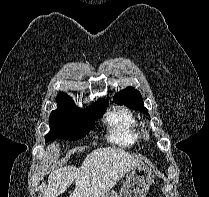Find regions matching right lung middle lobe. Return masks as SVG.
I'll return each instance as SVG.
<instances>
[{
	"label": "right lung middle lobe",
	"mask_w": 209,
	"mask_h": 197,
	"mask_svg": "<svg viewBox=\"0 0 209 197\" xmlns=\"http://www.w3.org/2000/svg\"><path fill=\"white\" fill-rule=\"evenodd\" d=\"M58 108L52 111L49 119L50 131L45 140L68 139L77 140L84 137L92 129L93 119L99 118L108 101L101 100L87 109L81 110L67 94H59L56 100Z\"/></svg>",
	"instance_id": "1"
}]
</instances>
